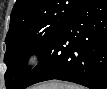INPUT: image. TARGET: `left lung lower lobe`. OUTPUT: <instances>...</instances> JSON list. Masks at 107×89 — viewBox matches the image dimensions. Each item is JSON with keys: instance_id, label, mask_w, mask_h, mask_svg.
<instances>
[{"instance_id": "0a47b994", "label": "left lung lower lobe", "mask_w": 107, "mask_h": 89, "mask_svg": "<svg viewBox=\"0 0 107 89\" xmlns=\"http://www.w3.org/2000/svg\"><path fill=\"white\" fill-rule=\"evenodd\" d=\"M40 59L14 89L52 79L106 89L107 0H84L40 54Z\"/></svg>"}]
</instances>
